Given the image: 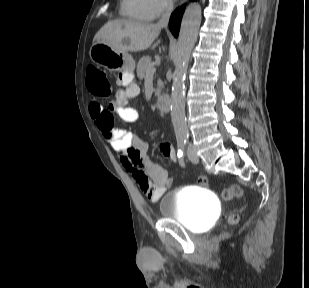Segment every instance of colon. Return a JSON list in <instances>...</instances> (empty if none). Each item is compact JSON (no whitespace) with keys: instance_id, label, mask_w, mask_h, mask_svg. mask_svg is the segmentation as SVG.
Wrapping results in <instances>:
<instances>
[{"instance_id":"5ec220e1","label":"colon","mask_w":309,"mask_h":288,"mask_svg":"<svg viewBox=\"0 0 309 288\" xmlns=\"http://www.w3.org/2000/svg\"><path fill=\"white\" fill-rule=\"evenodd\" d=\"M87 88L95 96L106 97L111 93V84L106 74L96 67H89L87 72ZM199 184L206 186L208 180L206 176H200L198 178ZM169 184H173V180H169ZM243 195V189L238 184H233L225 188L222 192V196L225 200H231L234 198H240ZM238 217L233 215L230 218V222L236 223Z\"/></svg>"}]
</instances>
